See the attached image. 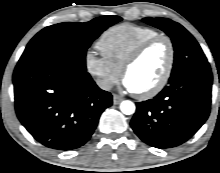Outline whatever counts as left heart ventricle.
Masks as SVG:
<instances>
[{
	"mask_svg": "<svg viewBox=\"0 0 220 173\" xmlns=\"http://www.w3.org/2000/svg\"><path fill=\"white\" fill-rule=\"evenodd\" d=\"M168 59V45L165 41H159L130 68L125 79L130 83L134 92H145L163 76Z\"/></svg>",
	"mask_w": 220,
	"mask_h": 173,
	"instance_id": "obj_1",
	"label": "left heart ventricle"
}]
</instances>
